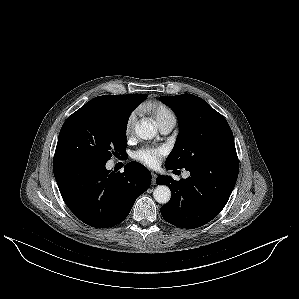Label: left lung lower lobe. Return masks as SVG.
<instances>
[{
	"label": "left lung lower lobe",
	"instance_id": "0a47b994",
	"mask_svg": "<svg viewBox=\"0 0 299 299\" xmlns=\"http://www.w3.org/2000/svg\"><path fill=\"white\" fill-rule=\"evenodd\" d=\"M186 170L190 176L185 180L159 176L156 182L172 191L170 201L161 207L163 218L175 226L194 229L210 222L226 205L238 177L237 153L206 159Z\"/></svg>",
	"mask_w": 299,
	"mask_h": 299
}]
</instances>
